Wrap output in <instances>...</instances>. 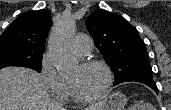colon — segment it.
I'll use <instances>...</instances> for the list:
<instances>
[{"mask_svg":"<svg viewBox=\"0 0 171 110\" xmlns=\"http://www.w3.org/2000/svg\"><path fill=\"white\" fill-rule=\"evenodd\" d=\"M129 110H135L133 107H131Z\"/></svg>","mask_w":171,"mask_h":110,"instance_id":"1","label":"colon"}]
</instances>
